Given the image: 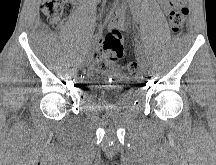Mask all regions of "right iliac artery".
<instances>
[{
    "mask_svg": "<svg viewBox=\"0 0 216 165\" xmlns=\"http://www.w3.org/2000/svg\"><path fill=\"white\" fill-rule=\"evenodd\" d=\"M114 10H115V7H113L111 9V11L109 12V15L106 17L104 23L100 26L99 30H98V33L95 35V40L99 39V37L101 36V33H102V30L103 28L106 26L108 20L113 16L114 14ZM88 46V45H87ZM87 46H86V49H87ZM88 50V49H87ZM88 52L86 51L85 53H83V56L80 58L82 60V64H87V58H88Z\"/></svg>",
    "mask_w": 216,
    "mask_h": 165,
    "instance_id": "82829eb1",
    "label": "right iliac artery"
}]
</instances>
